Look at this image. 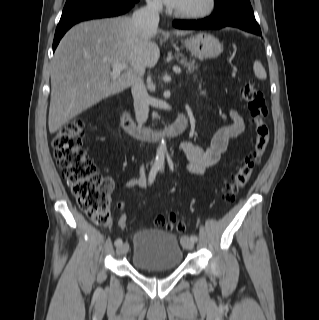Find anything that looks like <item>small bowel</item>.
I'll return each instance as SVG.
<instances>
[{
    "mask_svg": "<svg viewBox=\"0 0 319 320\" xmlns=\"http://www.w3.org/2000/svg\"><path fill=\"white\" fill-rule=\"evenodd\" d=\"M202 96L207 97V92L202 91ZM231 123L223 126L214 134L211 145L203 149L191 142H183L179 150L185 156L186 168L194 174H203L213 167L229 148L232 139L240 136L245 130V123L236 111L230 112ZM146 184L144 176H138L126 181L128 189L142 188ZM122 207V206H121Z\"/></svg>",
    "mask_w": 319,
    "mask_h": 320,
    "instance_id": "small-bowel-1",
    "label": "small bowel"
}]
</instances>
